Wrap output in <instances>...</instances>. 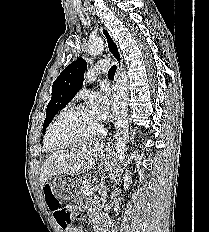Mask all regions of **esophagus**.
Here are the masks:
<instances>
[{
	"mask_svg": "<svg viewBox=\"0 0 209 232\" xmlns=\"http://www.w3.org/2000/svg\"><path fill=\"white\" fill-rule=\"evenodd\" d=\"M100 31L105 39L106 46L110 55L113 57L117 64V74H119L122 67V54L119 49V46L107 28L101 27Z\"/></svg>",
	"mask_w": 209,
	"mask_h": 232,
	"instance_id": "obj_1",
	"label": "esophagus"
}]
</instances>
